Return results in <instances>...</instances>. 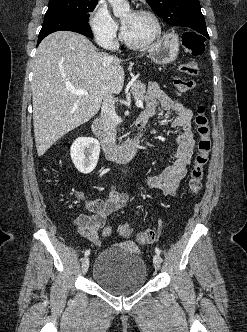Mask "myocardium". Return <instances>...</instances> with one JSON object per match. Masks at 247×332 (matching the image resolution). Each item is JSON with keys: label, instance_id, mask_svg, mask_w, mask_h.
I'll list each match as a JSON object with an SVG mask.
<instances>
[{"label": "myocardium", "instance_id": "f54148a6", "mask_svg": "<svg viewBox=\"0 0 247 332\" xmlns=\"http://www.w3.org/2000/svg\"><path fill=\"white\" fill-rule=\"evenodd\" d=\"M134 13L150 17L153 20L154 24H155V32L146 41L137 43V42L131 41L127 37V35L125 33V29L122 28L121 40L124 42V44L126 46H128L131 49H136V50L146 49L161 37V35H162V24H161V21L158 18V16L150 10L138 9V10H135Z\"/></svg>", "mask_w": 247, "mask_h": 332}]
</instances>
